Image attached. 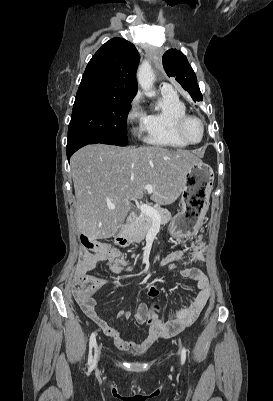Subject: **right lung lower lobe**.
<instances>
[{"mask_svg":"<svg viewBox=\"0 0 273 401\" xmlns=\"http://www.w3.org/2000/svg\"><path fill=\"white\" fill-rule=\"evenodd\" d=\"M98 142L91 141V140H79L67 143V157L68 159L72 156L74 152H76L81 147L88 145V144H97Z\"/></svg>","mask_w":273,"mask_h":401,"instance_id":"1","label":"right lung lower lobe"}]
</instances>
